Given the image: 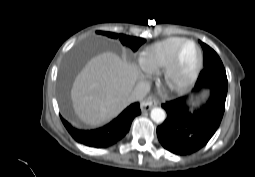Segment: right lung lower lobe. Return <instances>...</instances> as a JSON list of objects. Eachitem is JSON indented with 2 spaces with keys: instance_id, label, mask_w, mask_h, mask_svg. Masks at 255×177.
Instances as JSON below:
<instances>
[{
  "instance_id": "right-lung-lower-lobe-1",
  "label": "right lung lower lobe",
  "mask_w": 255,
  "mask_h": 177,
  "mask_svg": "<svg viewBox=\"0 0 255 177\" xmlns=\"http://www.w3.org/2000/svg\"><path fill=\"white\" fill-rule=\"evenodd\" d=\"M140 114L139 103H133L109 124L95 130H79L72 127L62 117L61 120L77 142L89 147L107 148L120 141L127 134L133 119Z\"/></svg>"
}]
</instances>
